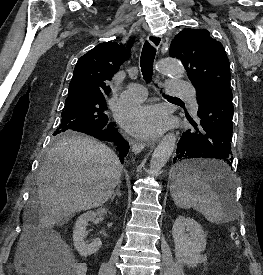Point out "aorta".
Segmentation results:
<instances>
[{"instance_id":"1","label":"aorta","mask_w":263,"mask_h":275,"mask_svg":"<svg viewBox=\"0 0 263 275\" xmlns=\"http://www.w3.org/2000/svg\"><path fill=\"white\" fill-rule=\"evenodd\" d=\"M156 69L173 78H182L185 74L182 63L177 59L162 60L157 64ZM176 141L177 137L174 133H168L162 138L152 154L150 161L152 173L160 171L165 166L175 149Z\"/></svg>"}]
</instances>
